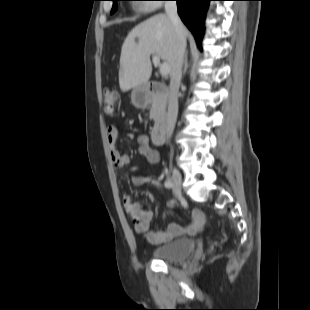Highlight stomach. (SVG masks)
Here are the masks:
<instances>
[{
	"instance_id": "0dacf381",
	"label": "stomach",
	"mask_w": 310,
	"mask_h": 310,
	"mask_svg": "<svg viewBox=\"0 0 310 310\" xmlns=\"http://www.w3.org/2000/svg\"><path fill=\"white\" fill-rule=\"evenodd\" d=\"M147 91L144 87H136L131 93V101L136 107H143L147 104Z\"/></svg>"
}]
</instances>
